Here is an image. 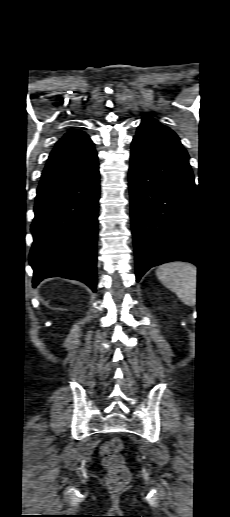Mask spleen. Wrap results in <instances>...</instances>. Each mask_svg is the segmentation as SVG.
I'll return each mask as SVG.
<instances>
[{"mask_svg":"<svg viewBox=\"0 0 230 517\" xmlns=\"http://www.w3.org/2000/svg\"><path fill=\"white\" fill-rule=\"evenodd\" d=\"M156 275L186 305L196 303L197 268L189 263L174 262L160 266Z\"/></svg>","mask_w":230,"mask_h":517,"instance_id":"spleen-1","label":"spleen"}]
</instances>
